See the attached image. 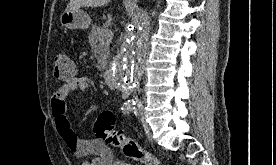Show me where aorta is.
I'll list each match as a JSON object with an SVG mask.
<instances>
[{
    "instance_id": "obj_1",
    "label": "aorta",
    "mask_w": 276,
    "mask_h": 165,
    "mask_svg": "<svg viewBox=\"0 0 276 165\" xmlns=\"http://www.w3.org/2000/svg\"><path fill=\"white\" fill-rule=\"evenodd\" d=\"M148 26L149 19L145 14L142 23L128 28L110 71L112 82L119 88L133 89L143 72L146 43L142 39V34L146 32Z\"/></svg>"
}]
</instances>
